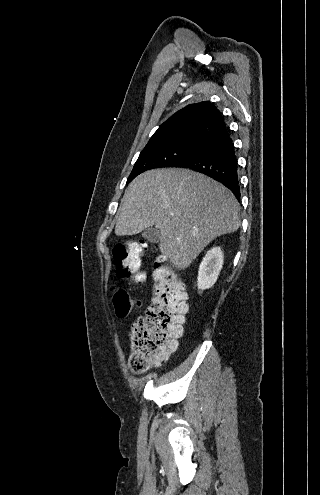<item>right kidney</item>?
Here are the masks:
<instances>
[{
	"mask_svg": "<svg viewBox=\"0 0 320 495\" xmlns=\"http://www.w3.org/2000/svg\"><path fill=\"white\" fill-rule=\"evenodd\" d=\"M224 262V255L220 247H213L203 258L199 270L197 286L201 290H206L214 286Z\"/></svg>",
	"mask_w": 320,
	"mask_h": 495,
	"instance_id": "right-kidney-1",
	"label": "right kidney"
}]
</instances>
